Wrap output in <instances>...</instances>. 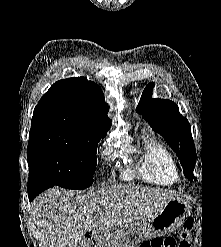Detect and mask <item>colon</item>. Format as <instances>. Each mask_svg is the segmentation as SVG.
<instances>
[{"label":"colon","mask_w":221,"mask_h":247,"mask_svg":"<svg viewBox=\"0 0 221 247\" xmlns=\"http://www.w3.org/2000/svg\"><path fill=\"white\" fill-rule=\"evenodd\" d=\"M194 228V219L188 218L184 221L182 230L180 232L179 238H154L148 241H145L141 244L140 247H191V232ZM80 247H93L92 241L90 238H87Z\"/></svg>","instance_id":"1"}]
</instances>
